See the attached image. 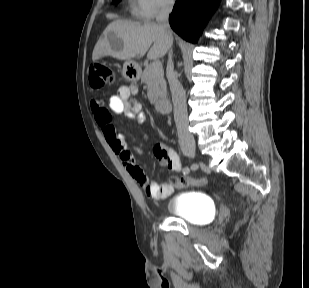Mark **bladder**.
I'll return each mask as SVG.
<instances>
[{
    "label": "bladder",
    "instance_id": "bladder-1",
    "mask_svg": "<svg viewBox=\"0 0 309 288\" xmlns=\"http://www.w3.org/2000/svg\"><path fill=\"white\" fill-rule=\"evenodd\" d=\"M166 211L193 225H205L212 219L213 205L210 197L197 190L181 192L171 197Z\"/></svg>",
    "mask_w": 309,
    "mask_h": 288
}]
</instances>
